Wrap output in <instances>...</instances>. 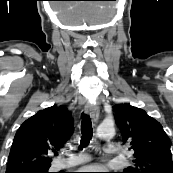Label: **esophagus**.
<instances>
[{"instance_id":"esophagus-1","label":"esophagus","mask_w":173,"mask_h":173,"mask_svg":"<svg viewBox=\"0 0 173 173\" xmlns=\"http://www.w3.org/2000/svg\"><path fill=\"white\" fill-rule=\"evenodd\" d=\"M85 113L89 114L91 116V118L93 119L94 122L98 121L99 118V106L95 103H87L85 105Z\"/></svg>"}]
</instances>
